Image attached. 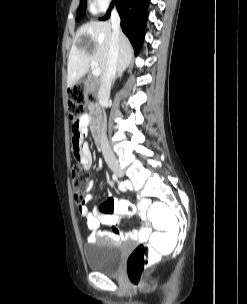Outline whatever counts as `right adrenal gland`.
I'll list each match as a JSON object with an SVG mask.
<instances>
[{"mask_svg":"<svg viewBox=\"0 0 247 304\" xmlns=\"http://www.w3.org/2000/svg\"><path fill=\"white\" fill-rule=\"evenodd\" d=\"M122 77V72H118V74L116 75V77L114 78L112 85H114L115 81L117 78H121Z\"/></svg>","mask_w":247,"mask_h":304,"instance_id":"obj_1","label":"right adrenal gland"}]
</instances>
